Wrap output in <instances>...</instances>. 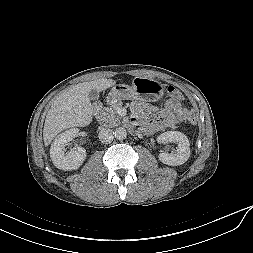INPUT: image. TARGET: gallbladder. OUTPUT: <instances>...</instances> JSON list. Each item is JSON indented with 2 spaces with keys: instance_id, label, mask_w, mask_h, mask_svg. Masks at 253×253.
<instances>
[{
  "instance_id": "1",
  "label": "gallbladder",
  "mask_w": 253,
  "mask_h": 253,
  "mask_svg": "<svg viewBox=\"0 0 253 253\" xmlns=\"http://www.w3.org/2000/svg\"><path fill=\"white\" fill-rule=\"evenodd\" d=\"M88 97H89L90 100H93V101H94V100H97V99H98L99 94H98V92H97L95 89H92V90L89 92Z\"/></svg>"
}]
</instances>
